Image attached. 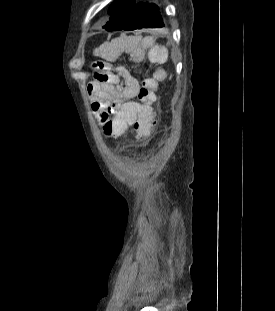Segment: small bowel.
<instances>
[{
    "label": "small bowel",
    "instance_id": "small-bowel-1",
    "mask_svg": "<svg viewBox=\"0 0 275 311\" xmlns=\"http://www.w3.org/2000/svg\"><path fill=\"white\" fill-rule=\"evenodd\" d=\"M97 54L104 59L127 57L134 60L135 67H144L145 61L141 59L150 57V62L161 63L152 78L156 85L165 77L163 66L172 59L169 50L164 46L155 45L154 39L150 36L144 39L121 36L104 43ZM87 90L92 111L102 125L103 119L129 118V128H132L133 133H138V139H153L156 126L153 118V102L139 99L138 81L126 68L117 66L106 80L89 83ZM125 131L119 130L120 135Z\"/></svg>",
    "mask_w": 275,
    "mask_h": 311
}]
</instances>
